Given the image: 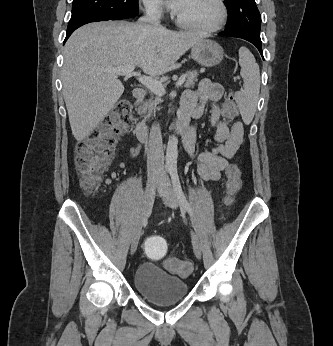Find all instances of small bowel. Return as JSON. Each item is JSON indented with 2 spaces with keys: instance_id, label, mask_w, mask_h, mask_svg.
<instances>
[{
  "instance_id": "small-bowel-1",
  "label": "small bowel",
  "mask_w": 333,
  "mask_h": 346,
  "mask_svg": "<svg viewBox=\"0 0 333 346\" xmlns=\"http://www.w3.org/2000/svg\"><path fill=\"white\" fill-rule=\"evenodd\" d=\"M223 95V87L209 79H202L195 90L183 93L179 117H186L189 122L200 119L206 106L210 105V124L215 129L216 146L210 151L201 152L197 158V171L206 181H218L228 166V159L233 157L243 142L244 127L242 122L235 121L231 126L222 119L223 111L218 105ZM197 141L196 129L192 123L190 134L183 138L185 152L193 156ZM139 147H133L130 156L138 155Z\"/></svg>"
}]
</instances>
